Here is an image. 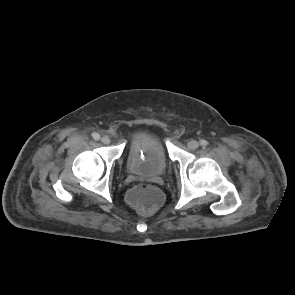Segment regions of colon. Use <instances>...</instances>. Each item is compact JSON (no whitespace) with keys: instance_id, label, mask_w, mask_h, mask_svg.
<instances>
[{"instance_id":"obj_1","label":"colon","mask_w":295,"mask_h":295,"mask_svg":"<svg viewBox=\"0 0 295 295\" xmlns=\"http://www.w3.org/2000/svg\"><path fill=\"white\" fill-rule=\"evenodd\" d=\"M161 198V192L156 187L148 184H139L127 194L128 202L145 213L156 209L161 202Z\"/></svg>"}]
</instances>
